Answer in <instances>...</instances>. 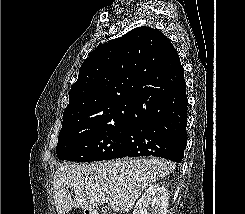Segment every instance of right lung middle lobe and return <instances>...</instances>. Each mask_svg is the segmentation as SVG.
Here are the masks:
<instances>
[{
	"label": "right lung middle lobe",
	"mask_w": 245,
	"mask_h": 214,
	"mask_svg": "<svg viewBox=\"0 0 245 214\" xmlns=\"http://www.w3.org/2000/svg\"><path fill=\"white\" fill-rule=\"evenodd\" d=\"M131 124L132 117L95 125L63 117L57 156L59 160L77 162L115 159L125 143Z\"/></svg>",
	"instance_id": "obj_1"
}]
</instances>
